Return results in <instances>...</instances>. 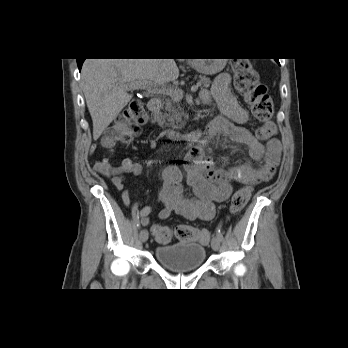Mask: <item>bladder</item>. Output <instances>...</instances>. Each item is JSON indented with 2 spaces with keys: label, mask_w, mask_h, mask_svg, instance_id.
Listing matches in <instances>:
<instances>
[{
  "label": "bladder",
  "mask_w": 348,
  "mask_h": 348,
  "mask_svg": "<svg viewBox=\"0 0 348 348\" xmlns=\"http://www.w3.org/2000/svg\"><path fill=\"white\" fill-rule=\"evenodd\" d=\"M156 259L168 270L176 273L191 272L205 262V247L193 241H181L156 247Z\"/></svg>",
  "instance_id": "31cf9c89"
}]
</instances>
